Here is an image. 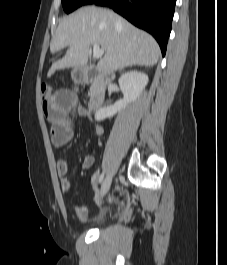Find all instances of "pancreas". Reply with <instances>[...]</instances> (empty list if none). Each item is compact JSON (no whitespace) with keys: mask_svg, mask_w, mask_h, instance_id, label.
Returning a JSON list of instances; mask_svg holds the SVG:
<instances>
[{"mask_svg":"<svg viewBox=\"0 0 227 265\" xmlns=\"http://www.w3.org/2000/svg\"><path fill=\"white\" fill-rule=\"evenodd\" d=\"M92 93H93V86L90 89V94H92Z\"/></svg>","mask_w":227,"mask_h":265,"instance_id":"obj_1","label":"pancreas"}]
</instances>
